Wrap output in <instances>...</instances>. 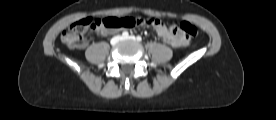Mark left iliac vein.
<instances>
[{
  "instance_id": "4c4485c4",
  "label": "left iliac vein",
  "mask_w": 276,
  "mask_h": 120,
  "mask_svg": "<svg viewBox=\"0 0 276 120\" xmlns=\"http://www.w3.org/2000/svg\"><path fill=\"white\" fill-rule=\"evenodd\" d=\"M123 39H130L132 41L136 40L135 36H133V35H131V36L127 37V38H123Z\"/></svg>"
}]
</instances>
